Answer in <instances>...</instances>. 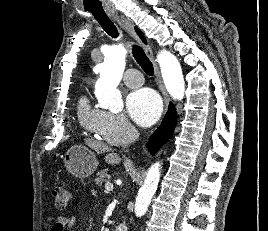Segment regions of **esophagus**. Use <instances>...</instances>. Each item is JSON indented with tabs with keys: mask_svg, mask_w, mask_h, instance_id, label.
I'll list each match as a JSON object with an SVG mask.
<instances>
[{
	"mask_svg": "<svg viewBox=\"0 0 268 231\" xmlns=\"http://www.w3.org/2000/svg\"><path fill=\"white\" fill-rule=\"evenodd\" d=\"M113 19L120 25L121 28H123L129 34L133 35L135 37V39L142 45L146 55L148 56V58L150 59V61L153 64L154 72H155V76H156V83L159 86V90L161 91V93L163 95L164 102H165L166 106H168L170 99H169V96H168L166 89L164 87V84H163V81L161 78V74L159 71V67H158L157 62L154 58L151 47L148 44H145L141 41V39L139 38V36L137 35V33L134 30V23L131 19L124 17V16H119L117 14L113 16Z\"/></svg>",
	"mask_w": 268,
	"mask_h": 231,
	"instance_id": "1",
	"label": "esophagus"
}]
</instances>
